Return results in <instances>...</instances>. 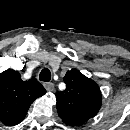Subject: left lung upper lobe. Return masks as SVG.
I'll list each match as a JSON object with an SVG mask.
<instances>
[{
	"instance_id": "5c2ea615",
	"label": "left lung upper lobe",
	"mask_w": 130,
	"mask_h": 130,
	"mask_svg": "<svg viewBox=\"0 0 130 130\" xmlns=\"http://www.w3.org/2000/svg\"><path fill=\"white\" fill-rule=\"evenodd\" d=\"M64 81L66 89L56 93V107L63 122L81 124L94 117L102 104L97 83L76 69L68 71Z\"/></svg>"
}]
</instances>
